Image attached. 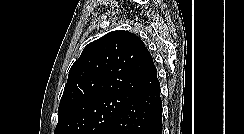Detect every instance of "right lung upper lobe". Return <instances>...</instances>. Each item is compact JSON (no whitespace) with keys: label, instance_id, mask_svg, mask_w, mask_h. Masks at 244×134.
I'll list each match as a JSON object with an SVG mask.
<instances>
[{"label":"right lung upper lobe","instance_id":"1","mask_svg":"<svg viewBox=\"0 0 244 134\" xmlns=\"http://www.w3.org/2000/svg\"><path fill=\"white\" fill-rule=\"evenodd\" d=\"M157 69L144 42L127 31H113L88 44L72 65L58 108V119L106 97L133 96L157 86Z\"/></svg>","mask_w":244,"mask_h":134}]
</instances>
